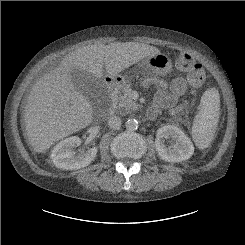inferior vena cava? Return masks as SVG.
<instances>
[{
  "label": "inferior vena cava",
  "mask_w": 245,
  "mask_h": 245,
  "mask_svg": "<svg viewBox=\"0 0 245 245\" xmlns=\"http://www.w3.org/2000/svg\"><path fill=\"white\" fill-rule=\"evenodd\" d=\"M122 121L121 118L118 116H112L108 120V125L112 129H118L121 127Z\"/></svg>",
  "instance_id": "obj_1"
}]
</instances>
